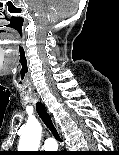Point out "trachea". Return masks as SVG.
<instances>
[{
	"label": "trachea",
	"instance_id": "trachea-1",
	"mask_svg": "<svg viewBox=\"0 0 119 155\" xmlns=\"http://www.w3.org/2000/svg\"><path fill=\"white\" fill-rule=\"evenodd\" d=\"M36 110H37L39 117L41 118L45 126L51 131L55 139L62 142V139L51 119V116L49 115V113L47 112L43 104L37 103Z\"/></svg>",
	"mask_w": 119,
	"mask_h": 155
}]
</instances>
